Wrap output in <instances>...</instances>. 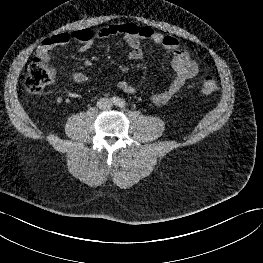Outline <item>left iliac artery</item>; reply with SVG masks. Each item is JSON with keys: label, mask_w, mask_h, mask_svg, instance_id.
Instances as JSON below:
<instances>
[{"label": "left iliac artery", "mask_w": 263, "mask_h": 263, "mask_svg": "<svg viewBox=\"0 0 263 263\" xmlns=\"http://www.w3.org/2000/svg\"><path fill=\"white\" fill-rule=\"evenodd\" d=\"M118 105H119V107L123 108V107H125L126 103H125V101L121 100Z\"/></svg>", "instance_id": "1"}]
</instances>
